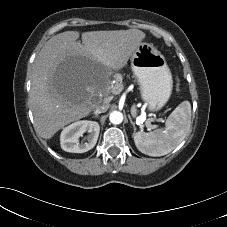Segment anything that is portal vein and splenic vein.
Listing matches in <instances>:
<instances>
[{
	"label": "portal vein and splenic vein",
	"instance_id": "obj_1",
	"mask_svg": "<svg viewBox=\"0 0 227 227\" xmlns=\"http://www.w3.org/2000/svg\"><path fill=\"white\" fill-rule=\"evenodd\" d=\"M120 86H117V88H119ZM135 107H133L132 108V114H135ZM146 126H147V128H149V129H154V128H156V126L155 125H151V123L150 122H146Z\"/></svg>",
	"mask_w": 227,
	"mask_h": 227
}]
</instances>
